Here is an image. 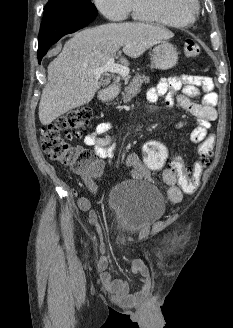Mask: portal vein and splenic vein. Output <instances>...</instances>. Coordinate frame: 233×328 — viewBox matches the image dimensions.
I'll use <instances>...</instances> for the list:
<instances>
[{
	"instance_id": "portal-vein-and-splenic-vein-1",
	"label": "portal vein and splenic vein",
	"mask_w": 233,
	"mask_h": 328,
	"mask_svg": "<svg viewBox=\"0 0 233 328\" xmlns=\"http://www.w3.org/2000/svg\"><path fill=\"white\" fill-rule=\"evenodd\" d=\"M105 72L116 73L125 77L129 74V69L123 65L116 64L115 59L111 58L105 65L93 69V73L96 75H101Z\"/></svg>"
}]
</instances>
